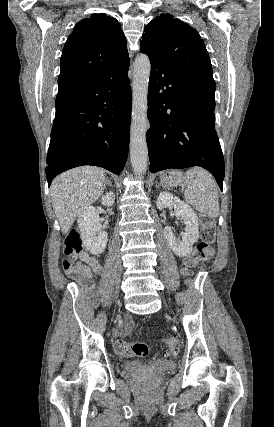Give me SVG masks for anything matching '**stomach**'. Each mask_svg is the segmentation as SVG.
<instances>
[{"label": "stomach", "instance_id": "obj_1", "mask_svg": "<svg viewBox=\"0 0 274 427\" xmlns=\"http://www.w3.org/2000/svg\"><path fill=\"white\" fill-rule=\"evenodd\" d=\"M183 182L182 172H165L161 176V184L164 188H176V186H181Z\"/></svg>", "mask_w": 274, "mask_h": 427}]
</instances>
